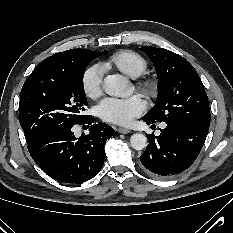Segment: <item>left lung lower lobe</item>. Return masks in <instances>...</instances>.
<instances>
[{"label": "left lung lower lobe", "instance_id": "obj_1", "mask_svg": "<svg viewBox=\"0 0 233 233\" xmlns=\"http://www.w3.org/2000/svg\"><path fill=\"white\" fill-rule=\"evenodd\" d=\"M166 124V128L160 129L159 136L154 133L147 135L149 145L140 156L146 169L161 176L181 173L189 168L200 153L209 129L187 121Z\"/></svg>", "mask_w": 233, "mask_h": 233}]
</instances>
